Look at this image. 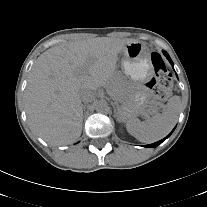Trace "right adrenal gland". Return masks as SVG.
<instances>
[{"label": "right adrenal gland", "mask_w": 207, "mask_h": 207, "mask_svg": "<svg viewBox=\"0 0 207 207\" xmlns=\"http://www.w3.org/2000/svg\"><path fill=\"white\" fill-rule=\"evenodd\" d=\"M82 107H83V111H85V109H86V104H84Z\"/></svg>", "instance_id": "1"}]
</instances>
